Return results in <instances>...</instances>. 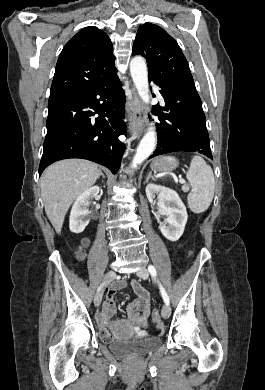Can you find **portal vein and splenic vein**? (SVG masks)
<instances>
[{"label":"portal vein and splenic vein","mask_w":265,"mask_h":390,"mask_svg":"<svg viewBox=\"0 0 265 390\" xmlns=\"http://www.w3.org/2000/svg\"><path fill=\"white\" fill-rule=\"evenodd\" d=\"M179 183H181V184H183V183H185V180L183 179V178H179ZM185 190H188V188H185Z\"/></svg>","instance_id":"obj_1"}]
</instances>
